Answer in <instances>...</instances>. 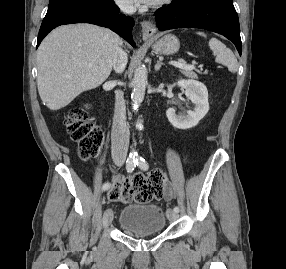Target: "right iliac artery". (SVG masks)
<instances>
[{"label":"right iliac artery","mask_w":286,"mask_h":269,"mask_svg":"<svg viewBox=\"0 0 286 269\" xmlns=\"http://www.w3.org/2000/svg\"><path fill=\"white\" fill-rule=\"evenodd\" d=\"M136 167V162H135V158L134 157H130L127 159L126 161V169L127 172H132L134 170V168ZM110 188V183L106 182L103 184L102 186V190H107Z\"/></svg>","instance_id":"obj_1"}]
</instances>
